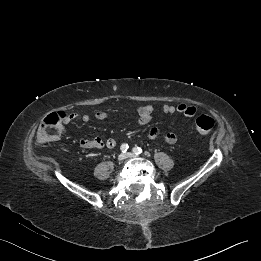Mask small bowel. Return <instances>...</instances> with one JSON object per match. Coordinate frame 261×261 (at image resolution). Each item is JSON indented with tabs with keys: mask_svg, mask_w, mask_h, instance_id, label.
Here are the masks:
<instances>
[{
	"mask_svg": "<svg viewBox=\"0 0 261 261\" xmlns=\"http://www.w3.org/2000/svg\"><path fill=\"white\" fill-rule=\"evenodd\" d=\"M162 111L164 114H174L176 112L182 113L188 120L192 119L197 110L194 106L187 104H179L177 106L166 104L162 107ZM138 125H145L149 123L153 119L154 108L150 105H142L137 108ZM109 114L106 111H98L95 114V118L97 120H105L107 119ZM81 120L83 123H88L91 120V117L88 114L78 115L72 114L70 115V120ZM147 136L150 140L157 141L162 140L168 144H175L177 142V135L174 132H161L158 128H151ZM80 145L86 149H101V148H109L113 149L117 146V141L114 138L101 139L99 137H94L91 139H81Z\"/></svg>",
	"mask_w": 261,
	"mask_h": 261,
	"instance_id": "obj_1",
	"label": "small bowel"
}]
</instances>
